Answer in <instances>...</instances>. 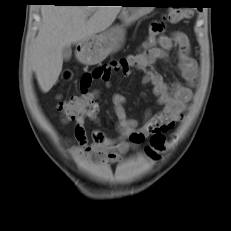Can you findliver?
Segmentation results:
<instances>
[{
	"label": "liver",
	"instance_id": "1",
	"mask_svg": "<svg viewBox=\"0 0 231 231\" xmlns=\"http://www.w3.org/2000/svg\"><path fill=\"white\" fill-rule=\"evenodd\" d=\"M121 8L85 5L41 7L42 25L34 42L32 65L44 93L53 87L62 71L63 48L105 31Z\"/></svg>",
	"mask_w": 231,
	"mask_h": 231
}]
</instances>
